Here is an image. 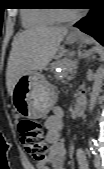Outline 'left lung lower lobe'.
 <instances>
[{"mask_svg": "<svg viewBox=\"0 0 104 169\" xmlns=\"http://www.w3.org/2000/svg\"><path fill=\"white\" fill-rule=\"evenodd\" d=\"M81 31L93 36L101 44L104 42V11L92 8L88 15L76 25Z\"/></svg>", "mask_w": 104, "mask_h": 169, "instance_id": "left-lung-lower-lobe-1", "label": "left lung lower lobe"}]
</instances>
